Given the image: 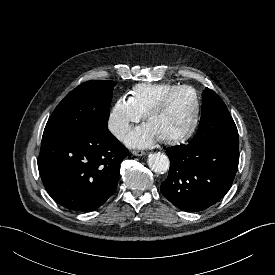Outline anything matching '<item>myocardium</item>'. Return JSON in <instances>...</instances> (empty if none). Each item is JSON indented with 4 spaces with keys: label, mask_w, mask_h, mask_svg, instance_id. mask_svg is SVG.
Returning a JSON list of instances; mask_svg holds the SVG:
<instances>
[{
    "label": "myocardium",
    "mask_w": 275,
    "mask_h": 275,
    "mask_svg": "<svg viewBox=\"0 0 275 275\" xmlns=\"http://www.w3.org/2000/svg\"><path fill=\"white\" fill-rule=\"evenodd\" d=\"M183 90H190L194 94L195 109H194L193 118H192L191 123L188 126V128L182 134H180L178 136L170 137V138L160 139V141L164 144L174 145V144L183 143L186 140H188L195 132V130L198 126L200 112H201V101H200V96H199L198 91L190 85L176 86L173 89L166 92L165 94H163L161 96V98L145 114V120H146V122H148L151 119V117H153L154 115H156L157 113H159L160 111H162L165 108L169 99L174 94H176L180 91H183Z\"/></svg>",
    "instance_id": "myocardium-1"
}]
</instances>
